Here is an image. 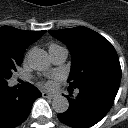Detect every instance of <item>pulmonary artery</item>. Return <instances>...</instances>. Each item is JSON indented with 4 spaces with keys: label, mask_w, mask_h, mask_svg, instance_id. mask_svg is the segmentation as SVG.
<instances>
[{
    "label": "pulmonary artery",
    "mask_w": 128,
    "mask_h": 128,
    "mask_svg": "<svg viewBox=\"0 0 128 128\" xmlns=\"http://www.w3.org/2000/svg\"><path fill=\"white\" fill-rule=\"evenodd\" d=\"M49 53H50V57H51L53 63L57 64V65L65 62V60L68 56V51L63 47L56 48V49L50 51Z\"/></svg>",
    "instance_id": "e3ab8cb5"
}]
</instances>
